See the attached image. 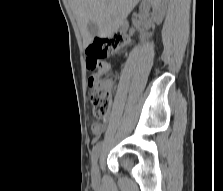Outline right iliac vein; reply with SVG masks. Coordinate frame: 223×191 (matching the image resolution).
Masks as SVG:
<instances>
[{
    "instance_id": "1",
    "label": "right iliac vein",
    "mask_w": 223,
    "mask_h": 191,
    "mask_svg": "<svg viewBox=\"0 0 223 191\" xmlns=\"http://www.w3.org/2000/svg\"><path fill=\"white\" fill-rule=\"evenodd\" d=\"M92 176L94 178L98 177V163H97V161L95 163H93V165H92Z\"/></svg>"
}]
</instances>
